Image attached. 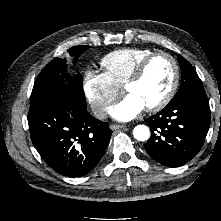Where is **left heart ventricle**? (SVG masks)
I'll return each instance as SVG.
<instances>
[{"label":"left heart ventricle","instance_id":"left-heart-ventricle-1","mask_svg":"<svg viewBox=\"0 0 221 221\" xmlns=\"http://www.w3.org/2000/svg\"><path fill=\"white\" fill-rule=\"evenodd\" d=\"M173 79V66L165 56H157L147 66L143 77L127 87L126 92L137 96L145 107L160 101Z\"/></svg>","mask_w":221,"mask_h":221}]
</instances>
